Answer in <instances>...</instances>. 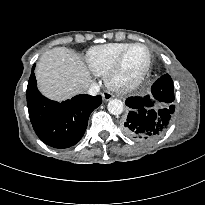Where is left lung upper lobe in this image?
<instances>
[{"label": "left lung upper lobe", "mask_w": 205, "mask_h": 205, "mask_svg": "<svg viewBox=\"0 0 205 205\" xmlns=\"http://www.w3.org/2000/svg\"><path fill=\"white\" fill-rule=\"evenodd\" d=\"M159 88L162 92L165 94L169 95L170 101L169 103H173L174 101V86H173V81L170 77V75L165 74L161 76L152 86V90Z\"/></svg>", "instance_id": "left-lung-upper-lobe-1"}]
</instances>
